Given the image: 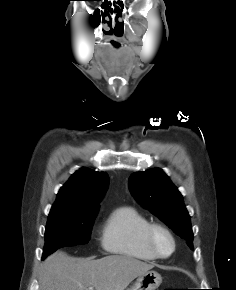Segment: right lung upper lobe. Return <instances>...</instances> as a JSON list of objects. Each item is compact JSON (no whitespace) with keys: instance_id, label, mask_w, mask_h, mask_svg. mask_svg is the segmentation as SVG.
<instances>
[{"instance_id":"obj_1","label":"right lung upper lobe","mask_w":236,"mask_h":290,"mask_svg":"<svg viewBox=\"0 0 236 290\" xmlns=\"http://www.w3.org/2000/svg\"><path fill=\"white\" fill-rule=\"evenodd\" d=\"M108 174L87 168L76 171L57 194L50 214L81 215L97 213L107 190ZM49 214V215H50Z\"/></svg>"}]
</instances>
